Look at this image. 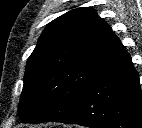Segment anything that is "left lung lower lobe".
Returning a JSON list of instances; mask_svg holds the SVG:
<instances>
[{
    "label": "left lung lower lobe",
    "instance_id": "obj_1",
    "mask_svg": "<svg viewBox=\"0 0 142 128\" xmlns=\"http://www.w3.org/2000/svg\"><path fill=\"white\" fill-rule=\"evenodd\" d=\"M56 122L89 128H142L139 76L125 48L89 81L70 113Z\"/></svg>",
    "mask_w": 142,
    "mask_h": 128
}]
</instances>
